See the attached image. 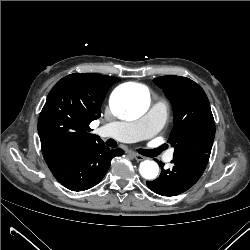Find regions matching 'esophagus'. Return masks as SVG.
<instances>
[{
	"label": "esophagus",
	"mask_w": 250,
	"mask_h": 250,
	"mask_svg": "<svg viewBox=\"0 0 250 250\" xmlns=\"http://www.w3.org/2000/svg\"><path fill=\"white\" fill-rule=\"evenodd\" d=\"M131 155H132V157H133L134 159H136L137 161H142V160L145 159V158H144L142 155H140V154L131 153Z\"/></svg>",
	"instance_id": "esophagus-1"
}]
</instances>
